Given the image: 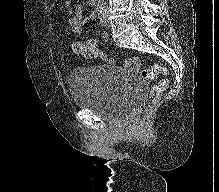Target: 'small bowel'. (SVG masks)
<instances>
[{"label":"small bowel","mask_w":219,"mask_h":192,"mask_svg":"<svg viewBox=\"0 0 219 192\" xmlns=\"http://www.w3.org/2000/svg\"><path fill=\"white\" fill-rule=\"evenodd\" d=\"M93 1L94 0H91V2ZM65 4L68 10L72 13V16L69 20V24L74 33L80 34L83 30L85 23L96 18L95 12H91L88 16H84V8L81 5L72 8L71 3L69 1ZM54 5H56V3H54ZM101 35L103 37L108 36L107 32L103 29L101 30ZM132 71H136V69L133 68Z\"/></svg>","instance_id":"obj_1"}]
</instances>
